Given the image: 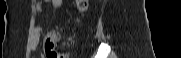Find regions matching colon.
Returning a JSON list of instances; mask_svg holds the SVG:
<instances>
[{"instance_id":"colon-1","label":"colon","mask_w":181,"mask_h":58,"mask_svg":"<svg viewBox=\"0 0 181 58\" xmlns=\"http://www.w3.org/2000/svg\"><path fill=\"white\" fill-rule=\"evenodd\" d=\"M79 10L83 11L87 8V3L84 0L78 1ZM55 40L53 38L45 39V53L47 58H67L65 54H59L54 50Z\"/></svg>"}]
</instances>
